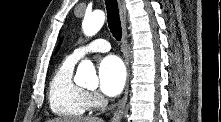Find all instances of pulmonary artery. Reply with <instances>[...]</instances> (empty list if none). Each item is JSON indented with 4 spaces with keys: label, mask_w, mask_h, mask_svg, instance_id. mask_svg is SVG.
<instances>
[{
    "label": "pulmonary artery",
    "mask_w": 221,
    "mask_h": 122,
    "mask_svg": "<svg viewBox=\"0 0 221 122\" xmlns=\"http://www.w3.org/2000/svg\"><path fill=\"white\" fill-rule=\"evenodd\" d=\"M111 46L110 43L104 39H96L86 45L80 46L73 51L69 56L73 60L78 61L85 55L93 52H108Z\"/></svg>",
    "instance_id": "1"
}]
</instances>
